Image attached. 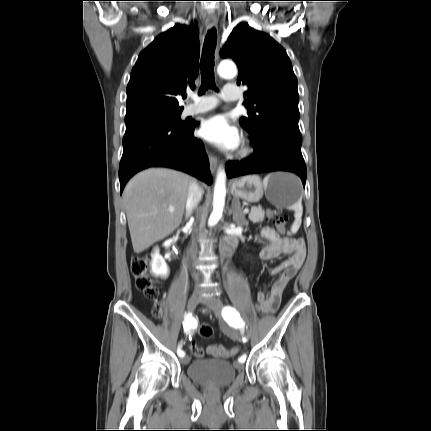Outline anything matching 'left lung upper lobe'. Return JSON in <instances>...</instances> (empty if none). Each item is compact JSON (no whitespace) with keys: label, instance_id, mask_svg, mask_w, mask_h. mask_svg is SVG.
<instances>
[{"label":"left lung upper lobe","instance_id":"left-lung-upper-lobe-1","mask_svg":"<svg viewBox=\"0 0 431 431\" xmlns=\"http://www.w3.org/2000/svg\"><path fill=\"white\" fill-rule=\"evenodd\" d=\"M223 58H232L239 69L238 85L248 86L249 110L240 124L260 139L272 127L299 131L297 79L286 51L268 34L239 24L228 38Z\"/></svg>","mask_w":431,"mask_h":431}]
</instances>
